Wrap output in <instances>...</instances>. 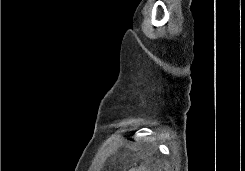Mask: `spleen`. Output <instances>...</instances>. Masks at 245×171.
<instances>
[{
  "mask_svg": "<svg viewBox=\"0 0 245 171\" xmlns=\"http://www.w3.org/2000/svg\"><path fill=\"white\" fill-rule=\"evenodd\" d=\"M129 171H150L146 166H140L138 168H132Z\"/></svg>",
  "mask_w": 245,
  "mask_h": 171,
  "instance_id": "3e777b00",
  "label": "spleen"
}]
</instances>
